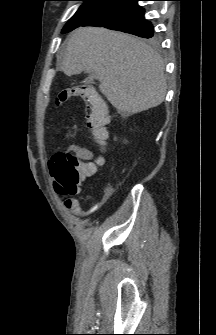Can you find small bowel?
<instances>
[{
  "mask_svg": "<svg viewBox=\"0 0 216 335\" xmlns=\"http://www.w3.org/2000/svg\"><path fill=\"white\" fill-rule=\"evenodd\" d=\"M69 149L76 155V157L81 161L80 165H83L84 162H89L90 160H94V159H103V158H94V153L86 148L83 147L81 145L78 144H71L69 146ZM104 160V159H103ZM101 167V166H98ZM49 170L50 173L52 175V171L51 168L49 166ZM96 173V172H95ZM75 205L73 207H76L77 210H79V208H77L78 206V202L76 200H71Z\"/></svg>",
  "mask_w": 216,
  "mask_h": 335,
  "instance_id": "obj_1",
  "label": "small bowel"
}]
</instances>
